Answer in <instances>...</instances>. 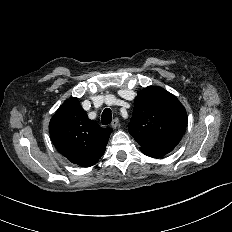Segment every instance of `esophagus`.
Instances as JSON below:
<instances>
[{
    "instance_id": "1",
    "label": "esophagus",
    "mask_w": 232,
    "mask_h": 232,
    "mask_svg": "<svg viewBox=\"0 0 232 232\" xmlns=\"http://www.w3.org/2000/svg\"><path fill=\"white\" fill-rule=\"evenodd\" d=\"M118 125H119V119L118 118L113 119V121L111 123L112 128L115 129L118 127Z\"/></svg>"
}]
</instances>
